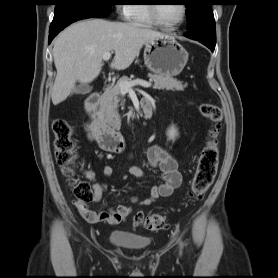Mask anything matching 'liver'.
Masks as SVG:
<instances>
[{"label":"liver","mask_w":278,"mask_h":278,"mask_svg":"<svg viewBox=\"0 0 278 278\" xmlns=\"http://www.w3.org/2000/svg\"><path fill=\"white\" fill-rule=\"evenodd\" d=\"M164 34L137 25L88 19L77 22L54 41L53 59L57 70L51 91L54 105L66 100L75 90V83H91L98 77L103 66V54L114 51L111 68H128L143 45Z\"/></svg>","instance_id":"obj_1"}]
</instances>
